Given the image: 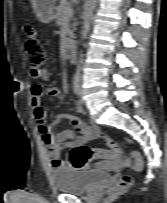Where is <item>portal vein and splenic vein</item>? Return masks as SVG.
Returning <instances> with one entry per match:
<instances>
[{
  "label": "portal vein and splenic vein",
  "mask_w": 167,
  "mask_h": 203,
  "mask_svg": "<svg viewBox=\"0 0 167 203\" xmlns=\"http://www.w3.org/2000/svg\"><path fill=\"white\" fill-rule=\"evenodd\" d=\"M66 14L68 17L73 15V8L71 6L66 9Z\"/></svg>",
  "instance_id": "portal-vein-and-splenic-vein-1"
}]
</instances>
